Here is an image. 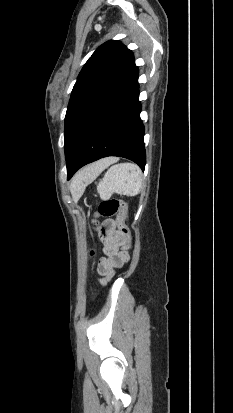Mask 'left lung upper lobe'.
I'll return each mask as SVG.
<instances>
[{"instance_id": "5c2ea615", "label": "left lung upper lobe", "mask_w": 233, "mask_h": 413, "mask_svg": "<svg viewBox=\"0 0 233 413\" xmlns=\"http://www.w3.org/2000/svg\"><path fill=\"white\" fill-rule=\"evenodd\" d=\"M134 64L131 50L118 40H110L98 47L83 66L65 117L67 164L74 157L92 119L117 92Z\"/></svg>"}]
</instances>
